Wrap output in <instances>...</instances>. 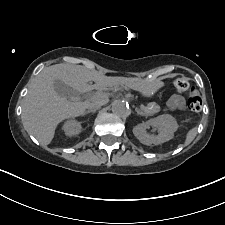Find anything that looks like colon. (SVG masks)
<instances>
[{
    "mask_svg": "<svg viewBox=\"0 0 225 225\" xmlns=\"http://www.w3.org/2000/svg\"><path fill=\"white\" fill-rule=\"evenodd\" d=\"M174 88L178 92H185L189 90L188 107L192 112H199L203 106V99L201 94L191 87L189 81L185 77H177L173 82Z\"/></svg>",
    "mask_w": 225,
    "mask_h": 225,
    "instance_id": "obj_1",
    "label": "colon"
}]
</instances>
